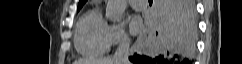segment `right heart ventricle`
<instances>
[{
	"label": "right heart ventricle",
	"instance_id": "1",
	"mask_svg": "<svg viewBox=\"0 0 242 64\" xmlns=\"http://www.w3.org/2000/svg\"><path fill=\"white\" fill-rule=\"evenodd\" d=\"M107 21L99 8L88 10L79 19L74 33V45L77 52L84 57H98L110 48Z\"/></svg>",
	"mask_w": 242,
	"mask_h": 64
}]
</instances>
